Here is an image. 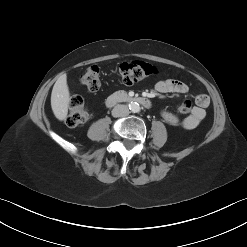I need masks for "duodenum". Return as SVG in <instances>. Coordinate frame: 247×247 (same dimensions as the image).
<instances>
[{"mask_svg": "<svg viewBox=\"0 0 247 247\" xmlns=\"http://www.w3.org/2000/svg\"><path fill=\"white\" fill-rule=\"evenodd\" d=\"M119 102L138 103V104L143 105V106H148L150 104L149 100H147L143 97H132V96H128L122 92L114 93L107 98V104L108 105H114V104L119 103Z\"/></svg>", "mask_w": 247, "mask_h": 247, "instance_id": "obj_1", "label": "duodenum"}]
</instances>
